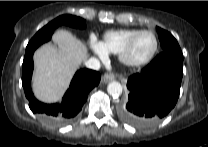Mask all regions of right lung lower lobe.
Returning <instances> with one entry per match:
<instances>
[{"instance_id": "right-lung-lower-lobe-1", "label": "right lung lower lobe", "mask_w": 208, "mask_h": 147, "mask_svg": "<svg viewBox=\"0 0 208 147\" xmlns=\"http://www.w3.org/2000/svg\"><path fill=\"white\" fill-rule=\"evenodd\" d=\"M52 34L38 39H31L28 43L22 64V86L33 113L40 114L45 120L53 124H66L80 112L90 90L99 84L101 75L99 72L89 69L79 70L73 77L61 103L44 104L39 102L31 90L33 53L41 44L49 41Z\"/></svg>"}]
</instances>
